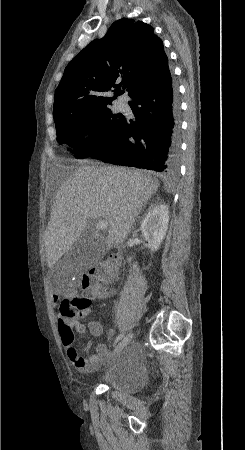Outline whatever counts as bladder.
Segmentation results:
<instances>
[{
  "mask_svg": "<svg viewBox=\"0 0 245 450\" xmlns=\"http://www.w3.org/2000/svg\"><path fill=\"white\" fill-rule=\"evenodd\" d=\"M146 378V367L141 360L121 358L110 364L97 383L124 394H135Z\"/></svg>",
  "mask_w": 245,
  "mask_h": 450,
  "instance_id": "bladder-1",
  "label": "bladder"
}]
</instances>
